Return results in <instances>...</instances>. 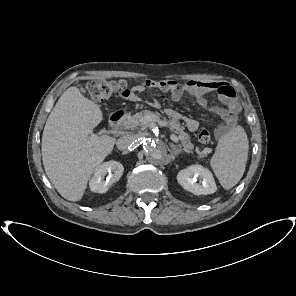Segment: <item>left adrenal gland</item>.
Here are the masks:
<instances>
[{"instance_id":"left-adrenal-gland-1","label":"left adrenal gland","mask_w":296,"mask_h":296,"mask_svg":"<svg viewBox=\"0 0 296 296\" xmlns=\"http://www.w3.org/2000/svg\"><path fill=\"white\" fill-rule=\"evenodd\" d=\"M170 147L172 149L173 154L177 157L179 154L183 153V150L181 147H178L174 145L173 143H170Z\"/></svg>"}]
</instances>
